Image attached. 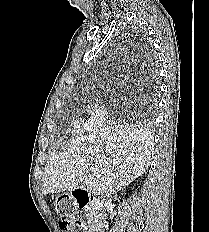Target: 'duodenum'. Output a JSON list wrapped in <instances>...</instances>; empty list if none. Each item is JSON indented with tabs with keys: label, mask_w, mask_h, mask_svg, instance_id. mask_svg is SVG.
Wrapping results in <instances>:
<instances>
[{
	"label": "duodenum",
	"mask_w": 209,
	"mask_h": 232,
	"mask_svg": "<svg viewBox=\"0 0 209 232\" xmlns=\"http://www.w3.org/2000/svg\"><path fill=\"white\" fill-rule=\"evenodd\" d=\"M73 194L77 199L78 206L82 209L89 206L100 208L103 205L102 199L95 197L88 189L84 187H77ZM91 232H104L102 224L99 220L93 221Z\"/></svg>",
	"instance_id": "410a0bca"
}]
</instances>
